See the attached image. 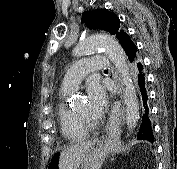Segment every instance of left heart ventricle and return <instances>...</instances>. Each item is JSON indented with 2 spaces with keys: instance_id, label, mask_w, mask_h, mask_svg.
Here are the masks:
<instances>
[{
  "instance_id": "obj_1",
  "label": "left heart ventricle",
  "mask_w": 177,
  "mask_h": 169,
  "mask_svg": "<svg viewBox=\"0 0 177 169\" xmlns=\"http://www.w3.org/2000/svg\"><path fill=\"white\" fill-rule=\"evenodd\" d=\"M75 111L81 115H84L90 120H98L100 118V115L94 114L90 108L89 104L86 98L82 99L77 107L75 108Z\"/></svg>"
}]
</instances>
